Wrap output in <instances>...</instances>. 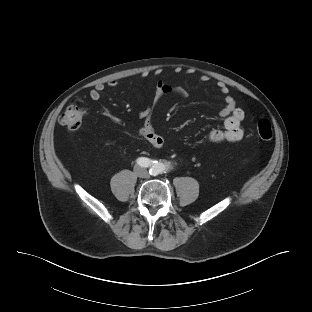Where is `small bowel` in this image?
I'll list each match as a JSON object with an SVG mask.
<instances>
[{
	"label": "small bowel",
	"instance_id": "1",
	"mask_svg": "<svg viewBox=\"0 0 312 312\" xmlns=\"http://www.w3.org/2000/svg\"><path fill=\"white\" fill-rule=\"evenodd\" d=\"M189 73V72H188ZM201 81L206 82L209 77L204 75L200 78ZM118 85V80H111L107 83V86L113 88ZM106 85L103 83L97 84L89 92V97L92 101H99L101 94L104 91ZM217 88L224 96V106L220 110L219 115L224 118V124L221 129L212 130L205 137L207 143H220V142H237L244 136V129L242 127V121L244 119L243 110L237 106L235 99L231 96L230 90L223 82L217 83ZM176 94L180 97H186L187 91L183 87H171L162 81H158L155 88L156 103L163 95ZM143 120V125L139 129L140 135L149 144L156 149H161L165 146L166 142L162 136L157 134L152 124V108L148 107L139 114Z\"/></svg>",
	"mask_w": 312,
	"mask_h": 312
}]
</instances>
